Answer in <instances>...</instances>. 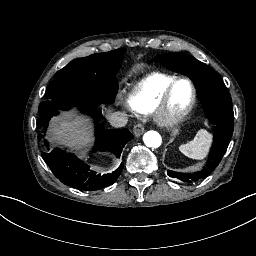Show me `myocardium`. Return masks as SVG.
<instances>
[{
  "label": "myocardium",
  "instance_id": "myocardium-1",
  "mask_svg": "<svg viewBox=\"0 0 256 256\" xmlns=\"http://www.w3.org/2000/svg\"><path fill=\"white\" fill-rule=\"evenodd\" d=\"M186 82L191 89V102L190 104L183 110L179 112H173L170 109V99L171 96L176 88V86L181 83ZM151 103V102H150ZM153 107V111L151 114H156L158 112H164L165 114V120L162 124V126H165L167 128H171L176 126L178 123H180L195 107L196 105V90L192 83V81L189 78L182 77L177 78L168 88L167 90L158 98L157 101L151 103Z\"/></svg>",
  "mask_w": 256,
  "mask_h": 256
}]
</instances>
